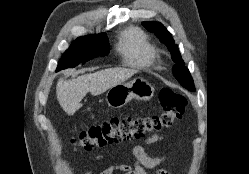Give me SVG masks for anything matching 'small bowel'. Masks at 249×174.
I'll use <instances>...</instances> for the list:
<instances>
[{"instance_id": "1", "label": "small bowel", "mask_w": 249, "mask_h": 174, "mask_svg": "<svg viewBox=\"0 0 249 174\" xmlns=\"http://www.w3.org/2000/svg\"><path fill=\"white\" fill-rule=\"evenodd\" d=\"M163 135H154L147 140V144H153L163 140ZM132 153L135 157V163L115 164L103 170L100 174H115L122 172L124 174H146L145 169H156L154 174H168L163 169H157L165 160V156H150L146 153L142 145L134 146ZM101 157L95 159V163L100 161ZM93 167L89 168L85 174H92Z\"/></svg>"}]
</instances>
